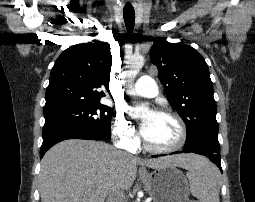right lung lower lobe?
Returning <instances> with one entry per match:
<instances>
[{
	"label": "right lung lower lobe",
	"mask_w": 255,
	"mask_h": 202,
	"mask_svg": "<svg viewBox=\"0 0 255 202\" xmlns=\"http://www.w3.org/2000/svg\"><path fill=\"white\" fill-rule=\"evenodd\" d=\"M67 139L104 140L87 129L79 126L64 125L44 128L40 158H42L45 152L53 145Z\"/></svg>",
	"instance_id": "98d812e1"
}]
</instances>
